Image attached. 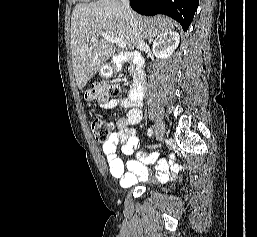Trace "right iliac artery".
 <instances>
[{
    "mask_svg": "<svg viewBox=\"0 0 257 237\" xmlns=\"http://www.w3.org/2000/svg\"><path fill=\"white\" fill-rule=\"evenodd\" d=\"M152 134H153V131H152V129H151V128H149V129H148V136H149V137H151V136H152Z\"/></svg>",
    "mask_w": 257,
    "mask_h": 237,
    "instance_id": "obj_1",
    "label": "right iliac artery"
}]
</instances>
